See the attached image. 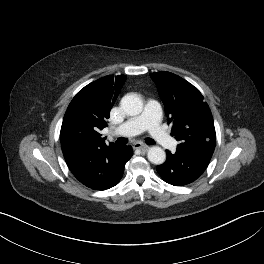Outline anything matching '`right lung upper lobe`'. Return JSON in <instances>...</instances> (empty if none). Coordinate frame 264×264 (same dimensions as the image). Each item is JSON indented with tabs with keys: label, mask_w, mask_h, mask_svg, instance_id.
<instances>
[{
	"label": "right lung upper lobe",
	"mask_w": 264,
	"mask_h": 264,
	"mask_svg": "<svg viewBox=\"0 0 264 264\" xmlns=\"http://www.w3.org/2000/svg\"><path fill=\"white\" fill-rule=\"evenodd\" d=\"M126 80L125 75L105 76L81 89L65 113L60 140L63 153L105 145L100 131ZM113 144V143H110Z\"/></svg>",
	"instance_id": "obj_1"
}]
</instances>
